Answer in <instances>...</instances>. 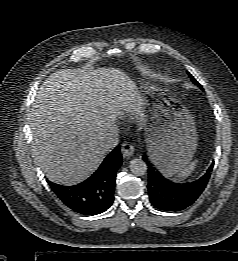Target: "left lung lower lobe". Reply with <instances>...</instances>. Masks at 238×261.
<instances>
[{"mask_svg": "<svg viewBox=\"0 0 238 261\" xmlns=\"http://www.w3.org/2000/svg\"><path fill=\"white\" fill-rule=\"evenodd\" d=\"M143 160L148 165V193L150 202L164 211H181L195 202L205 189L211 176L214 161L205 174L190 183H177L165 178L153 165L147 155Z\"/></svg>", "mask_w": 238, "mask_h": 261, "instance_id": "1", "label": "left lung lower lobe"}]
</instances>
